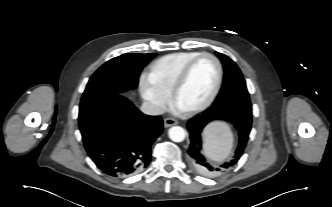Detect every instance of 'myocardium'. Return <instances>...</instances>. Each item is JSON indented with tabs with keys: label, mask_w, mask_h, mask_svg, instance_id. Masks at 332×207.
<instances>
[{
	"label": "myocardium",
	"mask_w": 332,
	"mask_h": 207,
	"mask_svg": "<svg viewBox=\"0 0 332 207\" xmlns=\"http://www.w3.org/2000/svg\"><path fill=\"white\" fill-rule=\"evenodd\" d=\"M204 57H208L211 58L215 65H216V71H217V76H216V81H215V85L213 87L212 92L210 93V95L208 96V98L202 102L201 104L187 109V110H183L186 114L188 115H194L197 114L199 112L204 111L205 109H207L215 100V98L217 97L220 88H221V84H222V79H223V69H222V64L220 62V60L213 54L211 53H207V52H203L198 54L197 56H195L194 58H192L190 61H188L186 63V65L182 68V70L180 71V73L178 74L172 90H171V98H172V102L177 105V97L179 92L181 91L182 87L184 86V84L187 81V78L189 76V73L192 69V67L194 66V64L200 60L201 58Z\"/></svg>",
	"instance_id": "myocardium-1"
}]
</instances>
